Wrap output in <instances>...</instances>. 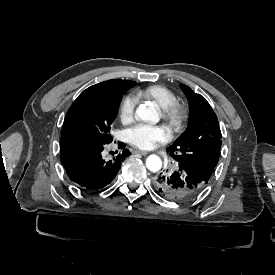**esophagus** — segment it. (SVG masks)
I'll use <instances>...</instances> for the list:
<instances>
[{"instance_id":"obj_1","label":"esophagus","mask_w":275,"mask_h":275,"mask_svg":"<svg viewBox=\"0 0 275 275\" xmlns=\"http://www.w3.org/2000/svg\"><path fill=\"white\" fill-rule=\"evenodd\" d=\"M135 153L136 154H141V155H147L148 154V152L142 151V150H135Z\"/></svg>"}]
</instances>
